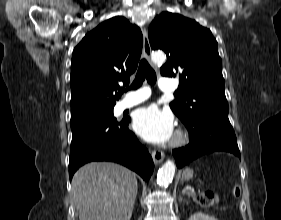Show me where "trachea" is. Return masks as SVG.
<instances>
[{"label": "trachea", "instance_id": "obj_1", "mask_svg": "<svg viewBox=\"0 0 281 220\" xmlns=\"http://www.w3.org/2000/svg\"><path fill=\"white\" fill-rule=\"evenodd\" d=\"M147 79L148 83L151 85H154L156 83V74L154 70L151 68L149 63L145 60L142 59L135 77V80L133 81L132 85L130 86L129 89H137L139 88L143 81ZM128 89H119V92L122 94L124 91H127Z\"/></svg>", "mask_w": 281, "mask_h": 220}]
</instances>
